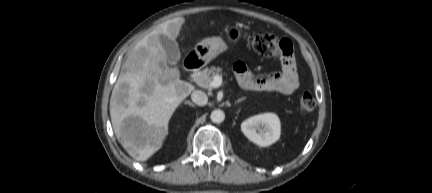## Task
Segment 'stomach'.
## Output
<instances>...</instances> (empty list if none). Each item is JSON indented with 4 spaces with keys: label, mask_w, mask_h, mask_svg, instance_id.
Segmentation results:
<instances>
[{
    "label": "stomach",
    "mask_w": 432,
    "mask_h": 193,
    "mask_svg": "<svg viewBox=\"0 0 432 193\" xmlns=\"http://www.w3.org/2000/svg\"><path fill=\"white\" fill-rule=\"evenodd\" d=\"M229 40L238 41L241 30L237 25H231L227 29ZM228 48L227 44L219 37L205 38L195 46V53L199 59L208 63Z\"/></svg>",
    "instance_id": "0dacf381"
}]
</instances>
